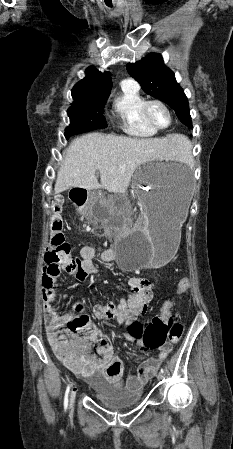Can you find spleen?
<instances>
[{
	"mask_svg": "<svg viewBox=\"0 0 233 449\" xmlns=\"http://www.w3.org/2000/svg\"><path fill=\"white\" fill-rule=\"evenodd\" d=\"M188 149H189V145H188V143H187V141H186V142H185V148H184V149H181V151H180V153H179V156H182L183 154L188 153Z\"/></svg>",
	"mask_w": 233,
	"mask_h": 449,
	"instance_id": "obj_1",
	"label": "spleen"
}]
</instances>
